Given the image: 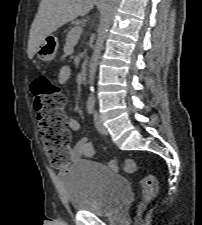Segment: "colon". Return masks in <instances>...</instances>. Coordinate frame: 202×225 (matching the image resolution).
Listing matches in <instances>:
<instances>
[{
  "mask_svg": "<svg viewBox=\"0 0 202 225\" xmlns=\"http://www.w3.org/2000/svg\"><path fill=\"white\" fill-rule=\"evenodd\" d=\"M32 92L35 96V122L41 142L51 162L65 168L69 164L71 144L70 128L64 112V96L55 81L41 71L32 82ZM109 166L113 170L121 168L126 173H134L137 163L134 159H126L121 164L118 160H111ZM141 201L138 213H142L146 205L158 195V184L154 176L147 175L139 182Z\"/></svg>",
  "mask_w": 202,
  "mask_h": 225,
  "instance_id": "obj_1",
  "label": "colon"
}]
</instances>
